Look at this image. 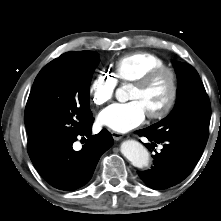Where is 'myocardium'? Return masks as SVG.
<instances>
[{"label": "myocardium", "instance_id": "f54148a6", "mask_svg": "<svg viewBox=\"0 0 221 221\" xmlns=\"http://www.w3.org/2000/svg\"><path fill=\"white\" fill-rule=\"evenodd\" d=\"M161 76H167L170 82V94L165 103V105L157 112L148 113V117L151 119H163L165 118L174 108L178 94H179V84L178 76L174 69L168 66H161L152 69L138 78L133 84L139 88H146L150 86L156 79Z\"/></svg>", "mask_w": 221, "mask_h": 221}]
</instances>
